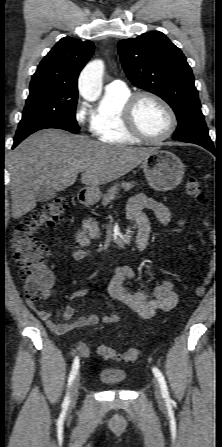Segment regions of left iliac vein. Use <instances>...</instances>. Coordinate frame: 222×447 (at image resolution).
Returning <instances> with one entry per match:
<instances>
[{"mask_svg": "<svg viewBox=\"0 0 222 447\" xmlns=\"http://www.w3.org/2000/svg\"><path fill=\"white\" fill-rule=\"evenodd\" d=\"M155 397L158 401H162L163 395L160 384L155 381Z\"/></svg>", "mask_w": 222, "mask_h": 447, "instance_id": "4c4485c4", "label": "left iliac vein"}]
</instances>
